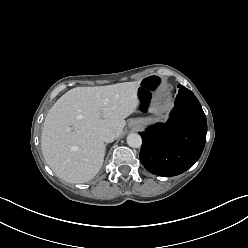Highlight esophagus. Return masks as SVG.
Segmentation results:
<instances>
[{
  "label": "esophagus",
  "instance_id": "esophagus-1",
  "mask_svg": "<svg viewBox=\"0 0 248 248\" xmlns=\"http://www.w3.org/2000/svg\"><path fill=\"white\" fill-rule=\"evenodd\" d=\"M131 125H132V127H133L134 129H137V128H138V125H137L136 122H133Z\"/></svg>",
  "mask_w": 248,
  "mask_h": 248
}]
</instances>
